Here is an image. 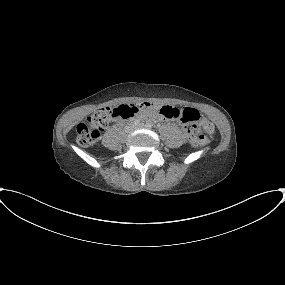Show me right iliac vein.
Returning a JSON list of instances; mask_svg holds the SVG:
<instances>
[{"mask_svg": "<svg viewBox=\"0 0 285 285\" xmlns=\"http://www.w3.org/2000/svg\"><path fill=\"white\" fill-rule=\"evenodd\" d=\"M131 130H132V127H131V126H128V127L125 128V132H126V133L131 132Z\"/></svg>", "mask_w": 285, "mask_h": 285, "instance_id": "right-iliac-vein-1", "label": "right iliac vein"}]
</instances>
